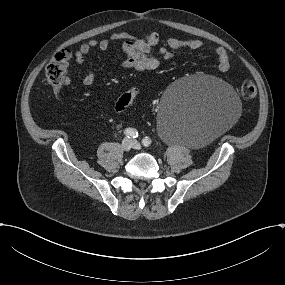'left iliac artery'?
Here are the masks:
<instances>
[{
	"mask_svg": "<svg viewBox=\"0 0 285 285\" xmlns=\"http://www.w3.org/2000/svg\"><path fill=\"white\" fill-rule=\"evenodd\" d=\"M142 143L144 146L148 147L151 145V140L149 137H145V138H143Z\"/></svg>",
	"mask_w": 285,
	"mask_h": 285,
	"instance_id": "44dca946",
	"label": "left iliac artery"
}]
</instances>
